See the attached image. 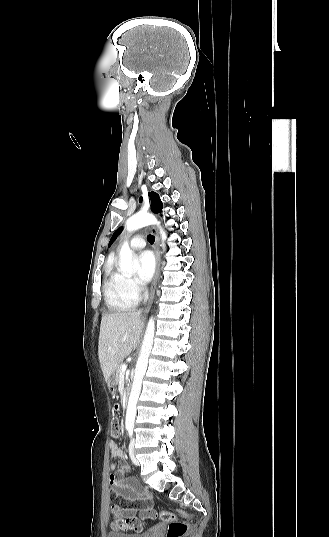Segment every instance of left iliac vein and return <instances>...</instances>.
<instances>
[{
    "instance_id": "left-iliac-vein-1",
    "label": "left iliac vein",
    "mask_w": 329,
    "mask_h": 537,
    "mask_svg": "<svg viewBox=\"0 0 329 537\" xmlns=\"http://www.w3.org/2000/svg\"><path fill=\"white\" fill-rule=\"evenodd\" d=\"M129 454H130V457H131L132 462H133L135 465H139V461H138V459L135 457V453H134V439H131V441H130V445H129Z\"/></svg>"
}]
</instances>
